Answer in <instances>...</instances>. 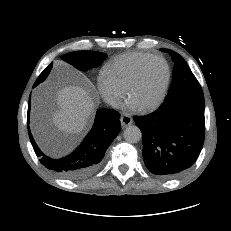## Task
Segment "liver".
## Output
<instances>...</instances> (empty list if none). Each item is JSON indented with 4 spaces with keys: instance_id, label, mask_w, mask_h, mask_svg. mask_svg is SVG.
<instances>
[{
    "instance_id": "1",
    "label": "liver",
    "mask_w": 231,
    "mask_h": 231,
    "mask_svg": "<svg viewBox=\"0 0 231 231\" xmlns=\"http://www.w3.org/2000/svg\"><path fill=\"white\" fill-rule=\"evenodd\" d=\"M58 108L49 112V120L65 134L81 133L88 125L95 109L90 86L69 85L57 91ZM33 134L37 142L48 147V137L41 116L34 113L32 119Z\"/></svg>"
}]
</instances>
